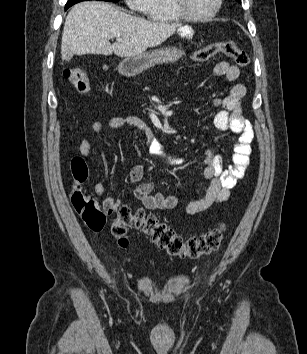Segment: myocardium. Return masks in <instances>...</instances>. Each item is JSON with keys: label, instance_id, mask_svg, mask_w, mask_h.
Wrapping results in <instances>:
<instances>
[{"label": "myocardium", "instance_id": "obj_1", "mask_svg": "<svg viewBox=\"0 0 307 354\" xmlns=\"http://www.w3.org/2000/svg\"><path fill=\"white\" fill-rule=\"evenodd\" d=\"M172 6L175 12L180 16L181 19L195 21V22H205L213 19L220 11L222 7L223 0H216V5L214 9L206 15H192L186 9L185 0H171Z\"/></svg>", "mask_w": 307, "mask_h": 354}]
</instances>
